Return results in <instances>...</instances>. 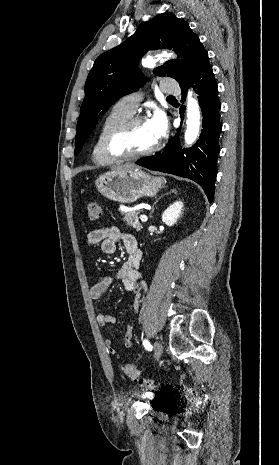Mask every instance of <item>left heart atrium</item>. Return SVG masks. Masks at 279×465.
Instances as JSON below:
<instances>
[{
  "mask_svg": "<svg viewBox=\"0 0 279 465\" xmlns=\"http://www.w3.org/2000/svg\"><path fill=\"white\" fill-rule=\"evenodd\" d=\"M148 125L156 140L160 139L167 130V121L163 113L156 112L149 120Z\"/></svg>",
  "mask_w": 279,
  "mask_h": 465,
  "instance_id": "39dd6f15",
  "label": "left heart atrium"
}]
</instances>
